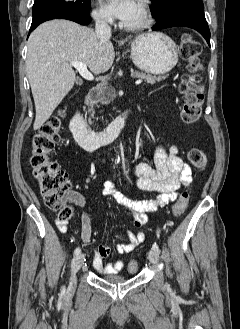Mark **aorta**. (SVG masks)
<instances>
[{
	"label": "aorta",
	"instance_id": "aorta-1",
	"mask_svg": "<svg viewBox=\"0 0 240 329\" xmlns=\"http://www.w3.org/2000/svg\"><path fill=\"white\" fill-rule=\"evenodd\" d=\"M117 161L119 162L120 161V157L118 156V159H117Z\"/></svg>",
	"mask_w": 240,
	"mask_h": 329
}]
</instances>
